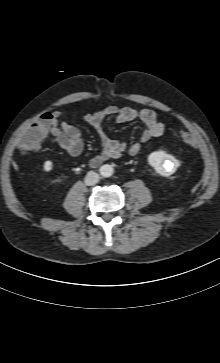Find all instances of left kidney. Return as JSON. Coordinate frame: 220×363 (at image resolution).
<instances>
[{
  "instance_id": "5707ae66",
  "label": "left kidney",
  "mask_w": 220,
  "mask_h": 363,
  "mask_svg": "<svg viewBox=\"0 0 220 363\" xmlns=\"http://www.w3.org/2000/svg\"><path fill=\"white\" fill-rule=\"evenodd\" d=\"M148 161L155 171L162 176L173 174L180 166L178 160L163 150L152 152L148 157Z\"/></svg>"
}]
</instances>
